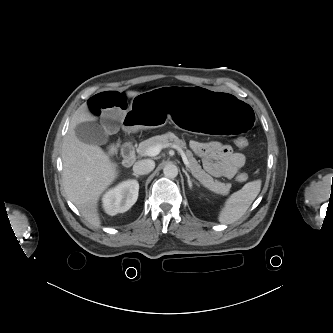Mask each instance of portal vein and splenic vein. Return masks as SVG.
<instances>
[{
  "mask_svg": "<svg viewBox=\"0 0 333 333\" xmlns=\"http://www.w3.org/2000/svg\"><path fill=\"white\" fill-rule=\"evenodd\" d=\"M165 146L166 145L159 144V145L150 147L149 149H147L146 155L147 156H151V157L152 156H156V155H158L160 153V151L162 150V148H164ZM173 147L176 148L179 151V153L181 154V157H182V160H183L185 166L187 168H189V160H188L186 154L184 153V151L182 149H180L179 147H177L176 145H173Z\"/></svg>",
  "mask_w": 333,
  "mask_h": 333,
  "instance_id": "obj_1",
  "label": "portal vein and splenic vein"
}]
</instances>
